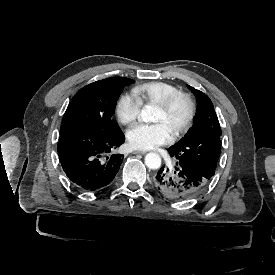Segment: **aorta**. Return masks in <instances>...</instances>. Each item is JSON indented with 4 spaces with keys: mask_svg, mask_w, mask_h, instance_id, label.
<instances>
[{
    "mask_svg": "<svg viewBox=\"0 0 275 275\" xmlns=\"http://www.w3.org/2000/svg\"><path fill=\"white\" fill-rule=\"evenodd\" d=\"M161 111L151 105H145L141 111V119L144 122H154ZM145 164L149 169L155 170L161 166V157L159 154L150 152L145 156Z\"/></svg>",
    "mask_w": 275,
    "mask_h": 275,
    "instance_id": "762f6f07",
    "label": "aorta"
}]
</instances>
